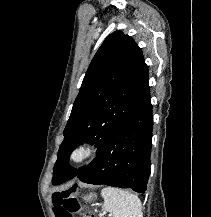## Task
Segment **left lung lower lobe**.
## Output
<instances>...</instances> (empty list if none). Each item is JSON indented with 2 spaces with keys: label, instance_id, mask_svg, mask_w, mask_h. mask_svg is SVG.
<instances>
[{
  "label": "left lung lower lobe",
  "instance_id": "0a47b994",
  "mask_svg": "<svg viewBox=\"0 0 211 217\" xmlns=\"http://www.w3.org/2000/svg\"><path fill=\"white\" fill-rule=\"evenodd\" d=\"M152 130L149 97L134 114L112 131L95 159L76 177L85 183L145 192L151 172Z\"/></svg>",
  "mask_w": 211,
  "mask_h": 217
}]
</instances>
